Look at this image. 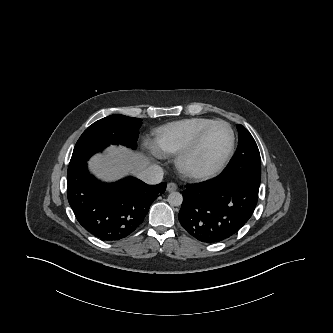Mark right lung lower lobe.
Instances as JSON below:
<instances>
[{
    "label": "right lung lower lobe",
    "mask_w": 333,
    "mask_h": 333,
    "mask_svg": "<svg viewBox=\"0 0 333 333\" xmlns=\"http://www.w3.org/2000/svg\"><path fill=\"white\" fill-rule=\"evenodd\" d=\"M67 197L80 225L103 241L130 235L142 223L166 183L148 185L134 177L103 183L91 175L87 163L67 174Z\"/></svg>",
    "instance_id": "obj_1"
}]
</instances>
